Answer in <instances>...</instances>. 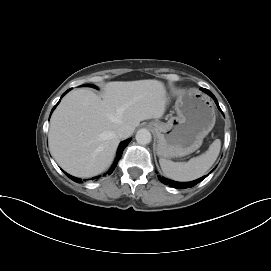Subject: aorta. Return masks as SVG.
Segmentation results:
<instances>
[{
  "label": "aorta",
  "instance_id": "aorta-1",
  "mask_svg": "<svg viewBox=\"0 0 271 271\" xmlns=\"http://www.w3.org/2000/svg\"><path fill=\"white\" fill-rule=\"evenodd\" d=\"M135 138L136 141L141 145L149 144L152 140L151 133L145 128L139 129L136 133Z\"/></svg>",
  "mask_w": 271,
  "mask_h": 271
}]
</instances>
